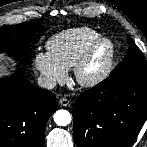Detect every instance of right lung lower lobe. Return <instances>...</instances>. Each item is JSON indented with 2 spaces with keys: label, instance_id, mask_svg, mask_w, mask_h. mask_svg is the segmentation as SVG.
Returning <instances> with one entry per match:
<instances>
[{
  "label": "right lung lower lobe",
  "instance_id": "1",
  "mask_svg": "<svg viewBox=\"0 0 147 147\" xmlns=\"http://www.w3.org/2000/svg\"><path fill=\"white\" fill-rule=\"evenodd\" d=\"M55 96L20 75L0 79V147H43Z\"/></svg>",
  "mask_w": 147,
  "mask_h": 147
}]
</instances>
